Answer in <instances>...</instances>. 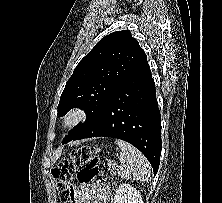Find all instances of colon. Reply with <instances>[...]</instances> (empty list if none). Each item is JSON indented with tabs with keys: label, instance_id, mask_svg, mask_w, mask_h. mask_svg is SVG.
<instances>
[{
	"label": "colon",
	"instance_id": "1",
	"mask_svg": "<svg viewBox=\"0 0 222 203\" xmlns=\"http://www.w3.org/2000/svg\"><path fill=\"white\" fill-rule=\"evenodd\" d=\"M52 175L59 194L68 200L72 198V180L76 176L80 183H90L102 177L99 161L92 156L88 147H80L72 151L70 158L57 164ZM67 201L65 203H68Z\"/></svg>",
	"mask_w": 222,
	"mask_h": 203
}]
</instances>
